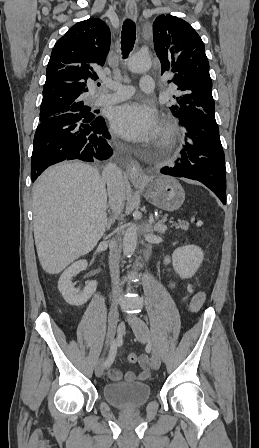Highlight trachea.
I'll use <instances>...</instances> for the list:
<instances>
[{"mask_svg": "<svg viewBox=\"0 0 259 448\" xmlns=\"http://www.w3.org/2000/svg\"><path fill=\"white\" fill-rule=\"evenodd\" d=\"M136 40L135 23L131 20H125L122 26L121 50L123 58H127L132 51ZM100 86V83H97Z\"/></svg>", "mask_w": 259, "mask_h": 448, "instance_id": "trachea-1", "label": "trachea"}]
</instances>
